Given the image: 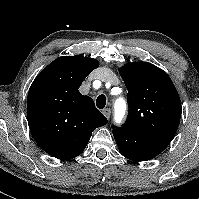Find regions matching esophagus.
Returning <instances> with one entry per match:
<instances>
[{"label":"esophagus","instance_id":"obj_1","mask_svg":"<svg viewBox=\"0 0 199 199\" xmlns=\"http://www.w3.org/2000/svg\"><path fill=\"white\" fill-rule=\"evenodd\" d=\"M102 113L105 115V117L108 119L111 114V110L109 108H106L102 111Z\"/></svg>","mask_w":199,"mask_h":199}]
</instances>
